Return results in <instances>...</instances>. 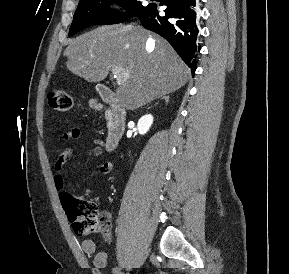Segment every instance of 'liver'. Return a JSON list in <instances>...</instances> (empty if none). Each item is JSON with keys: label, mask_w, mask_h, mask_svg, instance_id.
I'll return each instance as SVG.
<instances>
[{"label": "liver", "mask_w": 289, "mask_h": 274, "mask_svg": "<svg viewBox=\"0 0 289 274\" xmlns=\"http://www.w3.org/2000/svg\"><path fill=\"white\" fill-rule=\"evenodd\" d=\"M64 55L68 70L89 82H100L113 67H122L128 78L116 95L128 110L180 89L190 74L166 40L139 26L98 27L69 40Z\"/></svg>", "instance_id": "6515ba94"}]
</instances>
